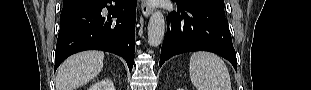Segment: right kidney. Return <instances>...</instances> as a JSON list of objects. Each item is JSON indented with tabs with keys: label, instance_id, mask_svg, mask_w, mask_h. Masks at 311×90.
<instances>
[{
	"label": "right kidney",
	"instance_id": "right-kidney-1",
	"mask_svg": "<svg viewBox=\"0 0 311 90\" xmlns=\"http://www.w3.org/2000/svg\"><path fill=\"white\" fill-rule=\"evenodd\" d=\"M89 90H115L111 80H102L89 88Z\"/></svg>",
	"mask_w": 311,
	"mask_h": 90
}]
</instances>
